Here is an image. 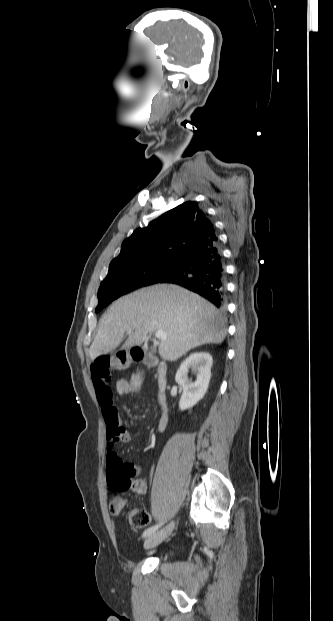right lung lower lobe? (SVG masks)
<instances>
[{
    "mask_svg": "<svg viewBox=\"0 0 333 621\" xmlns=\"http://www.w3.org/2000/svg\"><path fill=\"white\" fill-rule=\"evenodd\" d=\"M160 283L183 286L223 309L226 301V274L218 241L184 256L178 271Z\"/></svg>",
    "mask_w": 333,
    "mask_h": 621,
    "instance_id": "1",
    "label": "right lung lower lobe"
}]
</instances>
